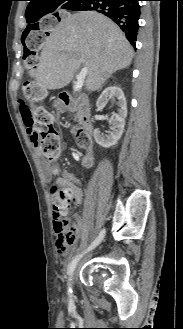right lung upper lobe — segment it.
I'll list each match as a JSON object with an SVG mask.
<instances>
[{
	"label": "right lung upper lobe",
	"instance_id": "cb5924a9",
	"mask_svg": "<svg viewBox=\"0 0 183 329\" xmlns=\"http://www.w3.org/2000/svg\"><path fill=\"white\" fill-rule=\"evenodd\" d=\"M30 3L26 9V19L28 22L30 23H34L35 24V19L38 16H41L44 14L45 10L53 5L55 2L58 1H63V0H29ZM33 24V25H34ZM31 25H28L27 29L30 28Z\"/></svg>",
	"mask_w": 183,
	"mask_h": 329
}]
</instances>
